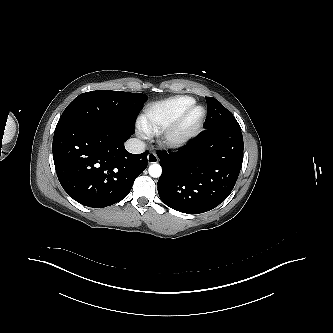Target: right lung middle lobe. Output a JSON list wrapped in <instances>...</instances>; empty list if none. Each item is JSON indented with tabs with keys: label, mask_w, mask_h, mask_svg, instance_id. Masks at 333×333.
I'll use <instances>...</instances> for the list:
<instances>
[{
	"label": "right lung middle lobe",
	"mask_w": 333,
	"mask_h": 333,
	"mask_svg": "<svg viewBox=\"0 0 333 333\" xmlns=\"http://www.w3.org/2000/svg\"><path fill=\"white\" fill-rule=\"evenodd\" d=\"M148 97L141 93L98 90L80 94L64 110L57 125L134 130L136 118Z\"/></svg>",
	"instance_id": "right-lung-middle-lobe-1"
}]
</instances>
